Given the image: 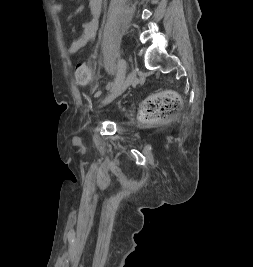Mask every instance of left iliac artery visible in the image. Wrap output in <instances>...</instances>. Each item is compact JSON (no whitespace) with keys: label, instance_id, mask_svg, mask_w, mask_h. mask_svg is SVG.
<instances>
[{"label":"left iliac artery","instance_id":"1","mask_svg":"<svg viewBox=\"0 0 253 267\" xmlns=\"http://www.w3.org/2000/svg\"><path fill=\"white\" fill-rule=\"evenodd\" d=\"M125 69H126V62L125 60H119V73L115 79L114 82L109 83L107 89L110 91H113L114 89H119L124 80V75H125Z\"/></svg>","mask_w":253,"mask_h":267}]
</instances>
